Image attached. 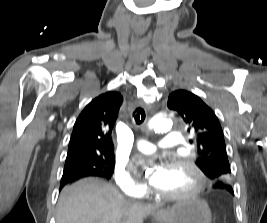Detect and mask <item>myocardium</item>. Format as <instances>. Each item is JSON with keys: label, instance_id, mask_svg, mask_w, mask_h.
Here are the masks:
<instances>
[{"label": "myocardium", "instance_id": "myocardium-1", "mask_svg": "<svg viewBox=\"0 0 267 223\" xmlns=\"http://www.w3.org/2000/svg\"><path fill=\"white\" fill-rule=\"evenodd\" d=\"M180 166L187 167L192 171L196 180L194 187L190 191L184 193H162L157 189H153L154 194L158 198L170 202L193 200L203 192L206 185V177L203 171L193 161L179 156H172L167 161V167L169 168H177Z\"/></svg>", "mask_w": 267, "mask_h": 223}]
</instances>
